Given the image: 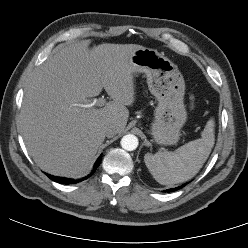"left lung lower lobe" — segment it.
I'll return each mask as SVG.
<instances>
[{
  "label": "left lung lower lobe",
  "instance_id": "1",
  "mask_svg": "<svg viewBox=\"0 0 248 248\" xmlns=\"http://www.w3.org/2000/svg\"><path fill=\"white\" fill-rule=\"evenodd\" d=\"M184 185H185V184H184ZM184 185L179 186V187H176V188L168 189L167 191H168V192H173V191H175V190H178V189L182 188Z\"/></svg>",
  "mask_w": 248,
  "mask_h": 248
}]
</instances>
